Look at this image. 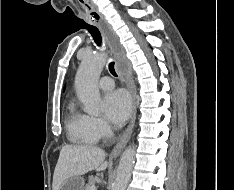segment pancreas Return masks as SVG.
I'll use <instances>...</instances> for the list:
<instances>
[{
	"instance_id": "cf45deb5",
	"label": "pancreas",
	"mask_w": 234,
	"mask_h": 190,
	"mask_svg": "<svg viewBox=\"0 0 234 190\" xmlns=\"http://www.w3.org/2000/svg\"><path fill=\"white\" fill-rule=\"evenodd\" d=\"M92 186H95V181H94V177L90 176L88 179V183L86 184L84 190H91Z\"/></svg>"
}]
</instances>
